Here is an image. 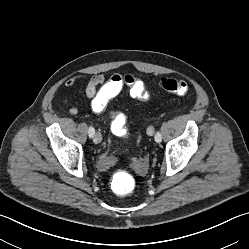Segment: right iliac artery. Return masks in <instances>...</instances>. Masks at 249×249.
Here are the masks:
<instances>
[{"label":"right iliac artery","instance_id":"right-iliac-artery-1","mask_svg":"<svg viewBox=\"0 0 249 249\" xmlns=\"http://www.w3.org/2000/svg\"><path fill=\"white\" fill-rule=\"evenodd\" d=\"M88 134H89L90 138H92L94 136L95 129L92 126L89 127Z\"/></svg>","mask_w":249,"mask_h":249}]
</instances>
